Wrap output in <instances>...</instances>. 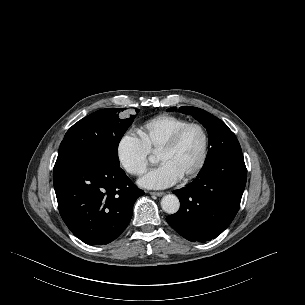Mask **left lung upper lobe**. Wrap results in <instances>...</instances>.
I'll use <instances>...</instances> for the list:
<instances>
[{
  "label": "left lung upper lobe",
  "instance_id": "left-lung-upper-lobe-1",
  "mask_svg": "<svg viewBox=\"0 0 305 305\" xmlns=\"http://www.w3.org/2000/svg\"><path fill=\"white\" fill-rule=\"evenodd\" d=\"M175 109V107H172L168 111ZM179 110L182 113L192 115L207 129L210 149L208 150L203 168H207L231 153L242 152L235 134L223 121L196 107L183 106Z\"/></svg>",
  "mask_w": 305,
  "mask_h": 305
}]
</instances>
